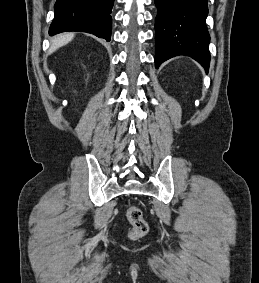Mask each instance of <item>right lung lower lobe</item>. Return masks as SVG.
<instances>
[{
    "instance_id": "98d812e1",
    "label": "right lung lower lobe",
    "mask_w": 259,
    "mask_h": 283,
    "mask_svg": "<svg viewBox=\"0 0 259 283\" xmlns=\"http://www.w3.org/2000/svg\"><path fill=\"white\" fill-rule=\"evenodd\" d=\"M113 2L114 0H57L49 35L80 31L110 41Z\"/></svg>"
}]
</instances>
